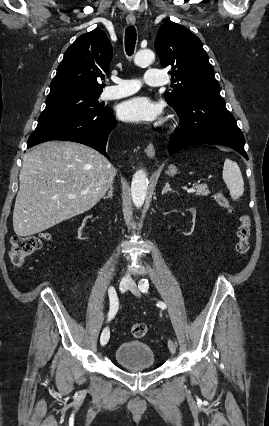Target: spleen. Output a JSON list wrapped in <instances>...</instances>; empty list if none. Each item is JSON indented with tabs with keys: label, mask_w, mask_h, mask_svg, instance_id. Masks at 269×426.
I'll list each match as a JSON object with an SVG mask.
<instances>
[{
	"label": "spleen",
	"mask_w": 269,
	"mask_h": 426,
	"mask_svg": "<svg viewBox=\"0 0 269 426\" xmlns=\"http://www.w3.org/2000/svg\"><path fill=\"white\" fill-rule=\"evenodd\" d=\"M222 177L230 192L232 200H238L244 193V181L238 164L226 159L223 166Z\"/></svg>",
	"instance_id": "obj_1"
}]
</instances>
